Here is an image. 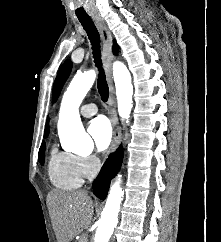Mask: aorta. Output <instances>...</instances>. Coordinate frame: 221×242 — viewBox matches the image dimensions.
Returning a JSON list of instances; mask_svg holds the SVG:
<instances>
[{
	"label": "aorta",
	"instance_id": "obj_1",
	"mask_svg": "<svg viewBox=\"0 0 221 242\" xmlns=\"http://www.w3.org/2000/svg\"><path fill=\"white\" fill-rule=\"evenodd\" d=\"M113 77L116 87L118 113L122 119H128L132 109L133 85L130 72L122 62L113 64ZM96 79L94 70L77 74L64 93L58 121V132L64 139L68 150L83 153L91 150L93 142L82 125L79 107ZM121 179L111 186L105 207L98 222L94 242H108L118 223V212L123 191Z\"/></svg>",
	"mask_w": 221,
	"mask_h": 242
}]
</instances>
